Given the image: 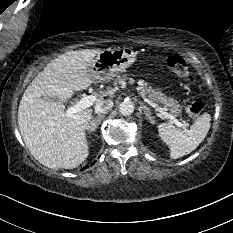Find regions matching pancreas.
I'll list each match as a JSON object with an SVG mask.
<instances>
[{
  "label": "pancreas",
  "mask_w": 233,
  "mask_h": 233,
  "mask_svg": "<svg viewBox=\"0 0 233 233\" xmlns=\"http://www.w3.org/2000/svg\"><path fill=\"white\" fill-rule=\"evenodd\" d=\"M128 77L126 75L123 76H117L114 79L115 84L121 83L124 80H127ZM138 90L140 94L147 97L148 99L152 101H157L161 104H163L166 108L170 109L171 113L175 116H178L182 112V108L177 100L167 97L165 94H163L158 89H153L148 82H145L144 80H140L138 82Z\"/></svg>",
  "instance_id": "pancreas-1"
}]
</instances>
